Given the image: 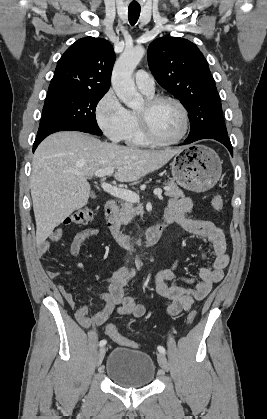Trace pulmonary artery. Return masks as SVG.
Instances as JSON below:
<instances>
[{
    "label": "pulmonary artery",
    "mask_w": 267,
    "mask_h": 419,
    "mask_svg": "<svg viewBox=\"0 0 267 419\" xmlns=\"http://www.w3.org/2000/svg\"><path fill=\"white\" fill-rule=\"evenodd\" d=\"M135 83L137 88L145 94L152 95L155 90L153 77L144 70H138L135 73Z\"/></svg>",
    "instance_id": "e3ab8cb5"
}]
</instances>
